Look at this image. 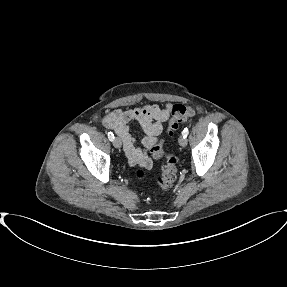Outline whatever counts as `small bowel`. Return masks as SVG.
Listing matches in <instances>:
<instances>
[{
    "mask_svg": "<svg viewBox=\"0 0 287 287\" xmlns=\"http://www.w3.org/2000/svg\"><path fill=\"white\" fill-rule=\"evenodd\" d=\"M171 108L170 104L165 108L146 104L133 109L119 108L105 116L103 120L104 125L120 136L131 165L151 168L152 159L149 156V152L161 135L163 123L169 119ZM131 123H138L144 131L142 138L143 148L135 145L129 128Z\"/></svg>",
    "mask_w": 287,
    "mask_h": 287,
    "instance_id": "small-bowel-1",
    "label": "small bowel"
}]
</instances>
